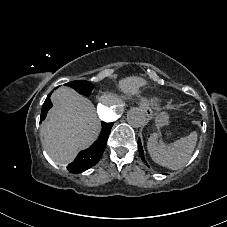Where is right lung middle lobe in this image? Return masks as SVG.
I'll return each mask as SVG.
<instances>
[{"mask_svg":"<svg viewBox=\"0 0 227 227\" xmlns=\"http://www.w3.org/2000/svg\"><path fill=\"white\" fill-rule=\"evenodd\" d=\"M65 85L75 89L77 92H79L80 94L85 95V96H89L94 87L90 82H88L86 80H76V81L66 83ZM51 93L52 92H50L47 99L45 100L42 110H46L48 108Z\"/></svg>","mask_w":227,"mask_h":227,"instance_id":"obj_1","label":"right lung middle lobe"}]
</instances>
